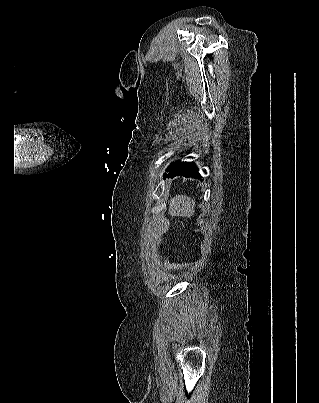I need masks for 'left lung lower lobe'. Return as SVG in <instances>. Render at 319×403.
Segmentation results:
<instances>
[{"instance_id":"left-lung-lower-lobe-1","label":"left lung lower lobe","mask_w":319,"mask_h":403,"mask_svg":"<svg viewBox=\"0 0 319 403\" xmlns=\"http://www.w3.org/2000/svg\"><path fill=\"white\" fill-rule=\"evenodd\" d=\"M166 172L169 174H164V177L169 176L173 178L181 175L184 177L202 178L198 172V168L193 162L176 161L167 168Z\"/></svg>"}]
</instances>
